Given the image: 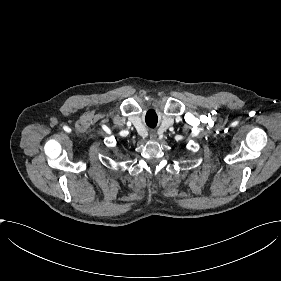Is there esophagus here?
<instances>
[{
  "instance_id": "1",
  "label": "esophagus",
  "mask_w": 281,
  "mask_h": 281,
  "mask_svg": "<svg viewBox=\"0 0 281 281\" xmlns=\"http://www.w3.org/2000/svg\"><path fill=\"white\" fill-rule=\"evenodd\" d=\"M149 134H150V137H151L152 139H156L157 133H156L155 130H151Z\"/></svg>"
}]
</instances>
